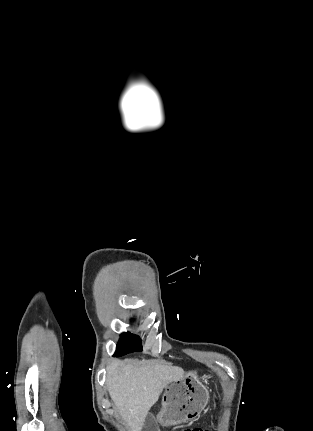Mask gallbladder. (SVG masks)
<instances>
[{"instance_id": "1", "label": "gallbladder", "mask_w": 313, "mask_h": 431, "mask_svg": "<svg viewBox=\"0 0 313 431\" xmlns=\"http://www.w3.org/2000/svg\"><path fill=\"white\" fill-rule=\"evenodd\" d=\"M156 425H157V422L154 419V417H147L146 422H145V427L148 430H155L156 429Z\"/></svg>"}]
</instances>
